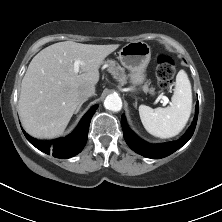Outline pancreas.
I'll return each instance as SVG.
<instances>
[{"label":"pancreas","mask_w":222,"mask_h":222,"mask_svg":"<svg viewBox=\"0 0 222 222\" xmlns=\"http://www.w3.org/2000/svg\"><path fill=\"white\" fill-rule=\"evenodd\" d=\"M106 64L108 65V72L111 73L113 75V77L121 84L124 85L127 83V77L123 71V69L116 65L115 61L112 60H108L106 62ZM143 90L145 92H150V93H154V88H148V84H145L143 86Z\"/></svg>","instance_id":"1"}]
</instances>
